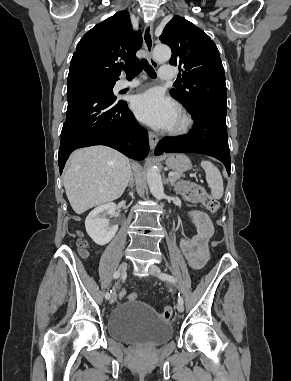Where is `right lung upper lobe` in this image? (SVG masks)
<instances>
[{
  "instance_id": "cb5924a9",
  "label": "right lung upper lobe",
  "mask_w": 291,
  "mask_h": 381,
  "mask_svg": "<svg viewBox=\"0 0 291 381\" xmlns=\"http://www.w3.org/2000/svg\"><path fill=\"white\" fill-rule=\"evenodd\" d=\"M141 44V31H133L128 12H117L82 37L71 59L68 77L115 83L121 72V61H136L135 54Z\"/></svg>"
}]
</instances>
